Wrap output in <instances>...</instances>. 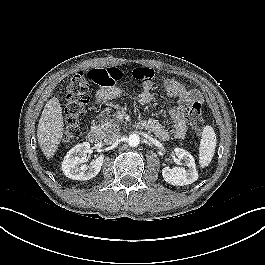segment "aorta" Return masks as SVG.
I'll return each instance as SVG.
<instances>
[{
  "mask_svg": "<svg viewBox=\"0 0 265 265\" xmlns=\"http://www.w3.org/2000/svg\"><path fill=\"white\" fill-rule=\"evenodd\" d=\"M140 143V137L138 134H130L129 137H128V144L129 146L131 147H136L138 146Z\"/></svg>",
  "mask_w": 265,
  "mask_h": 265,
  "instance_id": "aorta-1",
  "label": "aorta"
}]
</instances>
